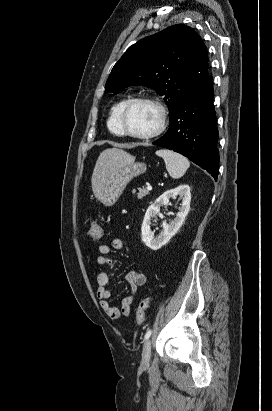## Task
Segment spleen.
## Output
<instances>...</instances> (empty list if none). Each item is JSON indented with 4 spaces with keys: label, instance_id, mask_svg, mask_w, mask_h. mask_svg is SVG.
Instances as JSON below:
<instances>
[{
    "label": "spleen",
    "instance_id": "obj_1",
    "mask_svg": "<svg viewBox=\"0 0 272 411\" xmlns=\"http://www.w3.org/2000/svg\"><path fill=\"white\" fill-rule=\"evenodd\" d=\"M156 155L164 159L166 169L174 179L181 178L190 167L189 160L174 151L160 149L156 151Z\"/></svg>",
    "mask_w": 272,
    "mask_h": 411
}]
</instances>
